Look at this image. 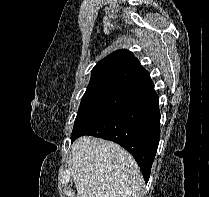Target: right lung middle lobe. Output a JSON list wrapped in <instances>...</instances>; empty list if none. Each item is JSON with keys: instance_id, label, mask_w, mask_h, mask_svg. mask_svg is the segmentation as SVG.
<instances>
[{"instance_id": "1", "label": "right lung middle lobe", "mask_w": 209, "mask_h": 197, "mask_svg": "<svg viewBox=\"0 0 209 197\" xmlns=\"http://www.w3.org/2000/svg\"><path fill=\"white\" fill-rule=\"evenodd\" d=\"M139 94L137 90L110 83H89L74 122L72 133Z\"/></svg>"}]
</instances>
